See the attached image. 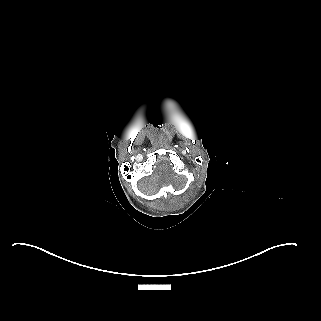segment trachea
I'll use <instances>...</instances> for the list:
<instances>
[{
  "label": "trachea",
  "instance_id": "trachea-1",
  "mask_svg": "<svg viewBox=\"0 0 321 321\" xmlns=\"http://www.w3.org/2000/svg\"><path fill=\"white\" fill-rule=\"evenodd\" d=\"M157 125H158V126H157L156 128L159 130V129L162 127V126H161V125H162V122L159 120V121L157 122Z\"/></svg>",
  "mask_w": 321,
  "mask_h": 321
}]
</instances>
